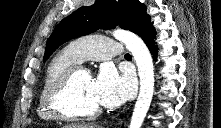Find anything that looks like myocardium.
Here are the masks:
<instances>
[{
    "instance_id": "myocardium-1",
    "label": "myocardium",
    "mask_w": 221,
    "mask_h": 128,
    "mask_svg": "<svg viewBox=\"0 0 221 128\" xmlns=\"http://www.w3.org/2000/svg\"><path fill=\"white\" fill-rule=\"evenodd\" d=\"M84 70L80 65L71 67L65 74L57 79L45 94V108L55 117L74 121L80 119H94L101 113V108L97 107L92 111H73L66 104V98L71 90L76 75Z\"/></svg>"
}]
</instances>
